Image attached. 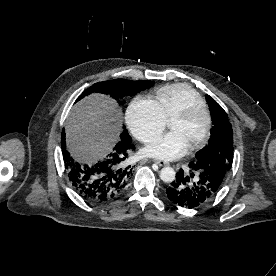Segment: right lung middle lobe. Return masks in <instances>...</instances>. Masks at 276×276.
Instances as JSON below:
<instances>
[{"mask_svg": "<svg viewBox=\"0 0 276 276\" xmlns=\"http://www.w3.org/2000/svg\"><path fill=\"white\" fill-rule=\"evenodd\" d=\"M152 81H130L125 79H115L104 82H98L88 89H86L76 101H79L83 97L92 94V93H100L105 95H110V97L118 100V103L122 105L124 102L121 101L122 98L126 96H134L140 91L153 86ZM122 139L130 140V136L127 133V130H124L122 135Z\"/></svg>", "mask_w": 276, "mask_h": 276, "instance_id": "obj_1", "label": "right lung middle lobe"}]
</instances>
